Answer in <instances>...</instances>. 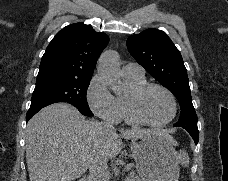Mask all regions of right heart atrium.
<instances>
[{
	"instance_id": "right-heart-atrium-1",
	"label": "right heart atrium",
	"mask_w": 228,
	"mask_h": 181,
	"mask_svg": "<svg viewBox=\"0 0 228 181\" xmlns=\"http://www.w3.org/2000/svg\"><path fill=\"white\" fill-rule=\"evenodd\" d=\"M104 75L95 76L88 88L87 98L92 111L101 119L117 124L120 119V110L117 99L106 87Z\"/></svg>"
}]
</instances>
